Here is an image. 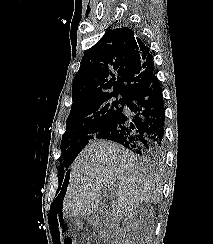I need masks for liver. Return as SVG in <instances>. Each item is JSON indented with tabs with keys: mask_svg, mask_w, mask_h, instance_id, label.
Masks as SVG:
<instances>
[{
	"mask_svg": "<svg viewBox=\"0 0 213 244\" xmlns=\"http://www.w3.org/2000/svg\"><path fill=\"white\" fill-rule=\"evenodd\" d=\"M107 189L112 194L113 220L129 215L140 203L161 200L159 176L146 160L116 143L93 141L72 166L63 201L64 217L95 214Z\"/></svg>",
	"mask_w": 213,
	"mask_h": 244,
	"instance_id": "obj_1",
	"label": "liver"
}]
</instances>
